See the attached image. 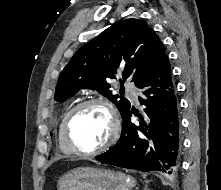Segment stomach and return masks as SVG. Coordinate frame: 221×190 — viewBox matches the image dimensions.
I'll use <instances>...</instances> for the list:
<instances>
[{
  "label": "stomach",
  "mask_w": 221,
  "mask_h": 190,
  "mask_svg": "<svg viewBox=\"0 0 221 190\" xmlns=\"http://www.w3.org/2000/svg\"><path fill=\"white\" fill-rule=\"evenodd\" d=\"M136 181L130 175L109 169L78 167L62 175L58 190H130Z\"/></svg>",
  "instance_id": "obj_1"
}]
</instances>
